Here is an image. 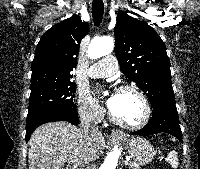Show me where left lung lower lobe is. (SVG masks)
Wrapping results in <instances>:
<instances>
[{
    "instance_id": "0a47b994",
    "label": "left lung lower lobe",
    "mask_w": 200,
    "mask_h": 169,
    "mask_svg": "<svg viewBox=\"0 0 200 169\" xmlns=\"http://www.w3.org/2000/svg\"><path fill=\"white\" fill-rule=\"evenodd\" d=\"M161 132L169 133L182 142V132L175 104L163 103L155 106L152 118L147 125L139 131L132 132V134L148 136Z\"/></svg>"
}]
</instances>
